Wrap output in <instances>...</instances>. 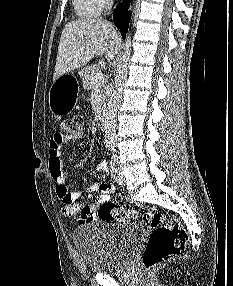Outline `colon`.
I'll return each mask as SVG.
<instances>
[{
	"instance_id": "1",
	"label": "colon",
	"mask_w": 233,
	"mask_h": 286,
	"mask_svg": "<svg viewBox=\"0 0 233 286\" xmlns=\"http://www.w3.org/2000/svg\"><path fill=\"white\" fill-rule=\"evenodd\" d=\"M83 123V118L79 115L69 117L59 123L56 134L62 139L78 140ZM94 213L104 221H130L136 217L135 211L125 210L109 201L100 203ZM144 220L152 229L142 258L145 269L150 270L165 263L188 247V235L177 219L166 218L157 212H147Z\"/></svg>"
}]
</instances>
